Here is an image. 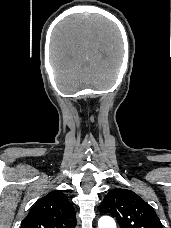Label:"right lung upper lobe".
Returning <instances> with one entry per match:
<instances>
[{
    "label": "right lung upper lobe",
    "instance_id": "1",
    "mask_svg": "<svg viewBox=\"0 0 171 228\" xmlns=\"http://www.w3.org/2000/svg\"><path fill=\"white\" fill-rule=\"evenodd\" d=\"M75 210L61 190L40 199L22 222L21 228H74Z\"/></svg>",
    "mask_w": 171,
    "mask_h": 228
}]
</instances>
